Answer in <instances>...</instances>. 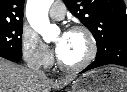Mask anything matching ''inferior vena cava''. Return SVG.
<instances>
[{"mask_svg": "<svg viewBox=\"0 0 127 92\" xmlns=\"http://www.w3.org/2000/svg\"><path fill=\"white\" fill-rule=\"evenodd\" d=\"M28 66L34 73L37 74L38 77L40 78L46 77L45 72L40 68V65L34 63V61L30 60L28 62Z\"/></svg>", "mask_w": 127, "mask_h": 92, "instance_id": "1", "label": "inferior vena cava"}]
</instances>
